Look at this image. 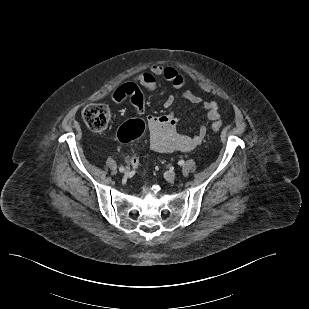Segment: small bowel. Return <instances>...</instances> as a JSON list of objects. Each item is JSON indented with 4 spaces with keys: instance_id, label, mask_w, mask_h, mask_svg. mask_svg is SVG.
Listing matches in <instances>:
<instances>
[{
    "instance_id": "1",
    "label": "small bowel",
    "mask_w": 309,
    "mask_h": 309,
    "mask_svg": "<svg viewBox=\"0 0 309 309\" xmlns=\"http://www.w3.org/2000/svg\"><path fill=\"white\" fill-rule=\"evenodd\" d=\"M159 79H164L175 89H182L185 85L184 77L173 67L154 65L136 75L132 80L118 86L112 94V100L120 103L129 98L138 114L145 113L144 90H155ZM182 98L192 104L201 105L206 110L209 122H217L220 118L219 106L215 101H203L201 97L190 91H184ZM174 97L169 96L164 106L170 108ZM147 126L150 134V146L159 153L187 152L202 143L207 133V124L199 126L194 135L181 133L178 128L179 117L174 111L160 116H147ZM131 163V158H129Z\"/></svg>"
}]
</instances>
